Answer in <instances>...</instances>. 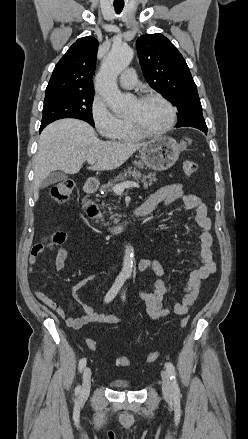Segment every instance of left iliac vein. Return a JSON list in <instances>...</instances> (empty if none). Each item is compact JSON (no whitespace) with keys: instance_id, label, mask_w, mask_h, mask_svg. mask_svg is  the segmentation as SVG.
I'll return each mask as SVG.
<instances>
[{"instance_id":"4c4485c4","label":"left iliac vein","mask_w":248,"mask_h":439,"mask_svg":"<svg viewBox=\"0 0 248 439\" xmlns=\"http://www.w3.org/2000/svg\"><path fill=\"white\" fill-rule=\"evenodd\" d=\"M162 392L166 399H172V386L170 382L169 375L166 371H162Z\"/></svg>"}]
</instances>
